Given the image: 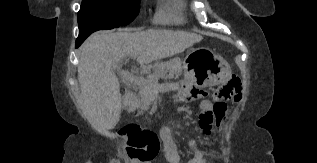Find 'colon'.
<instances>
[{
  "instance_id": "5ec220e1",
  "label": "colon",
  "mask_w": 317,
  "mask_h": 163,
  "mask_svg": "<svg viewBox=\"0 0 317 163\" xmlns=\"http://www.w3.org/2000/svg\"><path fill=\"white\" fill-rule=\"evenodd\" d=\"M242 95V86L236 76H232L215 92V103H202L199 115L200 127L203 130L213 129L226 111V101L239 102ZM123 134L128 137L131 147L130 155L141 163H149L159 153L160 141L158 135L149 129L130 125L123 129Z\"/></svg>"
}]
</instances>
